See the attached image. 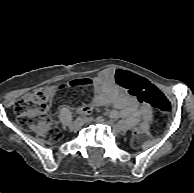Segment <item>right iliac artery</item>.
<instances>
[{
	"mask_svg": "<svg viewBox=\"0 0 194 193\" xmlns=\"http://www.w3.org/2000/svg\"><path fill=\"white\" fill-rule=\"evenodd\" d=\"M81 120H83V119L79 117V118H77L75 121H76V122H79V121H81Z\"/></svg>",
	"mask_w": 194,
	"mask_h": 193,
	"instance_id": "1",
	"label": "right iliac artery"
}]
</instances>
